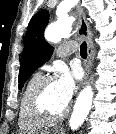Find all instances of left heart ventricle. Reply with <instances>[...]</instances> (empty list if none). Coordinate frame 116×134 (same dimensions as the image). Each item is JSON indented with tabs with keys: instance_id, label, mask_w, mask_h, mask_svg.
<instances>
[{
	"instance_id": "obj_1",
	"label": "left heart ventricle",
	"mask_w": 116,
	"mask_h": 134,
	"mask_svg": "<svg viewBox=\"0 0 116 134\" xmlns=\"http://www.w3.org/2000/svg\"><path fill=\"white\" fill-rule=\"evenodd\" d=\"M46 102L49 108L53 110L54 112H61L67 106L62 100L58 92L56 81L51 83L48 88V91L46 94Z\"/></svg>"
}]
</instances>
